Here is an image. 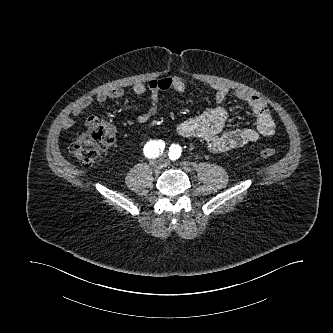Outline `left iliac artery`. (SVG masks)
<instances>
[{
    "label": "left iliac artery",
    "instance_id": "left-iliac-artery-1",
    "mask_svg": "<svg viewBox=\"0 0 333 333\" xmlns=\"http://www.w3.org/2000/svg\"><path fill=\"white\" fill-rule=\"evenodd\" d=\"M181 147L179 145H171L169 148V158L172 160H176L181 156Z\"/></svg>",
    "mask_w": 333,
    "mask_h": 333
}]
</instances>
